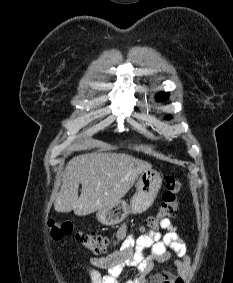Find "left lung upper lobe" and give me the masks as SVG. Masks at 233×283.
<instances>
[{"label":"left lung upper lobe","instance_id":"1","mask_svg":"<svg viewBox=\"0 0 233 283\" xmlns=\"http://www.w3.org/2000/svg\"><path fill=\"white\" fill-rule=\"evenodd\" d=\"M167 96H168V93L160 92V93L157 94L156 97H157L158 101H162V100L166 99ZM166 118L168 119V118H170V116H166Z\"/></svg>","mask_w":233,"mask_h":283}]
</instances>
